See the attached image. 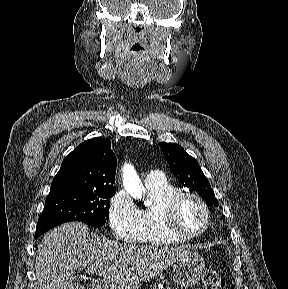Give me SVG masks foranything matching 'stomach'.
Segmentation results:
<instances>
[{"label": "stomach", "mask_w": 288, "mask_h": 289, "mask_svg": "<svg viewBox=\"0 0 288 289\" xmlns=\"http://www.w3.org/2000/svg\"><path fill=\"white\" fill-rule=\"evenodd\" d=\"M204 271V259L198 254L191 253L185 259L174 263L172 268L173 281L181 288H191L201 280Z\"/></svg>", "instance_id": "0dacf381"}]
</instances>
